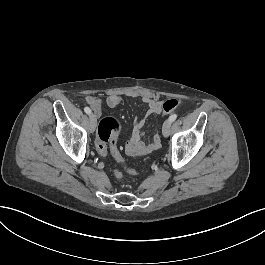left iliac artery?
Returning a JSON list of instances; mask_svg holds the SVG:
<instances>
[{"label":"left iliac artery","mask_w":265,"mask_h":265,"mask_svg":"<svg viewBox=\"0 0 265 265\" xmlns=\"http://www.w3.org/2000/svg\"><path fill=\"white\" fill-rule=\"evenodd\" d=\"M176 118H177V114H172V115L169 117V120H170L171 122H173V121L176 120Z\"/></svg>","instance_id":"left-iliac-artery-1"}]
</instances>
